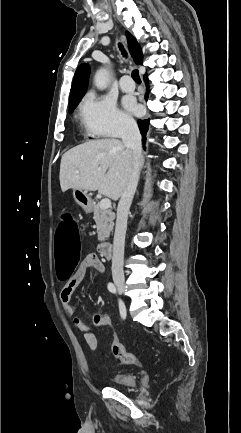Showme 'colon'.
Wrapping results in <instances>:
<instances>
[{
	"label": "colon",
	"instance_id": "5ec220e1",
	"mask_svg": "<svg viewBox=\"0 0 241 433\" xmlns=\"http://www.w3.org/2000/svg\"><path fill=\"white\" fill-rule=\"evenodd\" d=\"M58 225L53 226L52 245L55 254V272H58L60 280H66L71 272H74V265L79 261L80 233L78 220H73L72 214L66 212L58 213ZM94 328H99V320L102 315L95 312L92 315ZM115 358L125 364H136L137 358L134 354L126 351L125 347L118 341L111 346Z\"/></svg>",
	"mask_w": 241,
	"mask_h": 433
}]
</instances>
